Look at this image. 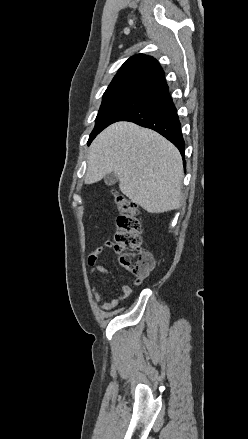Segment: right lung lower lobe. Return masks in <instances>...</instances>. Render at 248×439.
I'll return each instance as SVG.
<instances>
[{
  "mask_svg": "<svg viewBox=\"0 0 248 439\" xmlns=\"http://www.w3.org/2000/svg\"><path fill=\"white\" fill-rule=\"evenodd\" d=\"M119 121H130L155 130L172 142L184 158L185 142L181 132V124L168 89L150 98Z\"/></svg>",
  "mask_w": 248,
  "mask_h": 439,
  "instance_id": "1",
  "label": "right lung lower lobe"
}]
</instances>
